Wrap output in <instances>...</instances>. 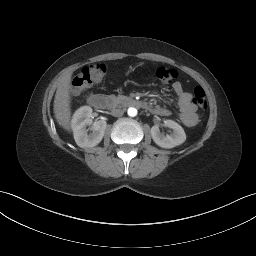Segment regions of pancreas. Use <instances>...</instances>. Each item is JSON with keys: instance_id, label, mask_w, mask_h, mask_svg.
Masks as SVG:
<instances>
[{"instance_id": "obj_1", "label": "pancreas", "mask_w": 256, "mask_h": 256, "mask_svg": "<svg viewBox=\"0 0 256 256\" xmlns=\"http://www.w3.org/2000/svg\"><path fill=\"white\" fill-rule=\"evenodd\" d=\"M108 98L111 100V102L116 105V104H120L122 102H124L125 100L128 99V97L124 96V95H109Z\"/></svg>"}]
</instances>
